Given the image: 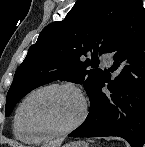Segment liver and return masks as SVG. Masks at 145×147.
Masks as SVG:
<instances>
[{"label": "liver", "mask_w": 145, "mask_h": 147, "mask_svg": "<svg viewBox=\"0 0 145 147\" xmlns=\"http://www.w3.org/2000/svg\"><path fill=\"white\" fill-rule=\"evenodd\" d=\"M63 139H58L54 142H50L49 144L45 145L44 147H59L62 143Z\"/></svg>", "instance_id": "obj_1"}]
</instances>
